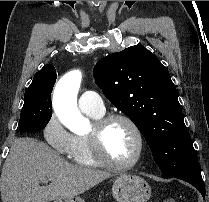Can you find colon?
Masks as SVG:
<instances>
[{"label": "colon", "mask_w": 209, "mask_h": 202, "mask_svg": "<svg viewBox=\"0 0 209 202\" xmlns=\"http://www.w3.org/2000/svg\"><path fill=\"white\" fill-rule=\"evenodd\" d=\"M163 202H180V201H177L173 198H168V199H165Z\"/></svg>", "instance_id": "colon-1"}]
</instances>
